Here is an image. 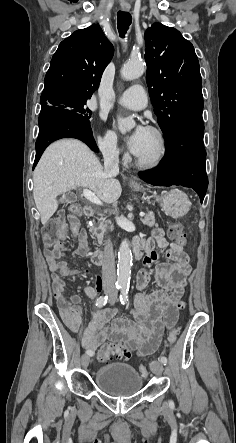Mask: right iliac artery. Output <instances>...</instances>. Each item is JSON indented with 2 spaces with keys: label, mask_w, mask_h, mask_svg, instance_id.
<instances>
[{
  "label": "right iliac artery",
  "mask_w": 236,
  "mask_h": 443,
  "mask_svg": "<svg viewBox=\"0 0 236 443\" xmlns=\"http://www.w3.org/2000/svg\"><path fill=\"white\" fill-rule=\"evenodd\" d=\"M121 288H122L121 286H118V287H117V289H121ZM107 301H108V296H100V297L96 300V306L99 307V308H100V307H103L104 305H106ZM86 353H87L89 356H93V354H94V352H92V351H90V350H87Z\"/></svg>",
  "instance_id": "82829eb1"
}]
</instances>
